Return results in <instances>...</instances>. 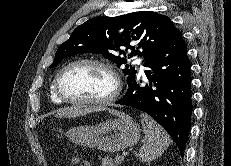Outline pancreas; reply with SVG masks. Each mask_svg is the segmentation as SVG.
I'll return each mask as SVG.
<instances>
[{
  "instance_id": "1",
  "label": "pancreas",
  "mask_w": 231,
  "mask_h": 166,
  "mask_svg": "<svg viewBox=\"0 0 231 166\" xmlns=\"http://www.w3.org/2000/svg\"><path fill=\"white\" fill-rule=\"evenodd\" d=\"M118 157L119 156H116L114 160L111 157H104L101 160V163H102L101 166H118L123 161L122 158H118Z\"/></svg>"
}]
</instances>
